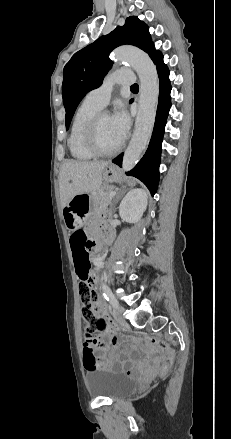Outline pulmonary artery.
<instances>
[{"label": "pulmonary artery", "instance_id": "e3ab8cb5", "mask_svg": "<svg viewBox=\"0 0 231 439\" xmlns=\"http://www.w3.org/2000/svg\"><path fill=\"white\" fill-rule=\"evenodd\" d=\"M134 82V75L128 69H120L110 73L104 83L86 95V100L99 106L105 107L110 99L112 89L115 85H130Z\"/></svg>", "mask_w": 231, "mask_h": 439}]
</instances>
